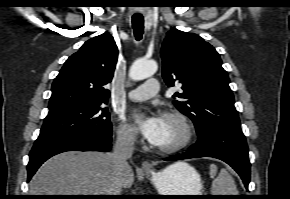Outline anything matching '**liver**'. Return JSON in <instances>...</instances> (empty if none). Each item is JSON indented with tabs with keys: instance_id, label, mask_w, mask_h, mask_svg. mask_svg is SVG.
Listing matches in <instances>:
<instances>
[{
	"instance_id": "obj_1",
	"label": "liver",
	"mask_w": 290,
	"mask_h": 199,
	"mask_svg": "<svg viewBox=\"0 0 290 199\" xmlns=\"http://www.w3.org/2000/svg\"><path fill=\"white\" fill-rule=\"evenodd\" d=\"M114 164L109 153L65 152L47 160L30 182L31 195H109ZM134 173L126 168L122 188H131Z\"/></svg>"
}]
</instances>
